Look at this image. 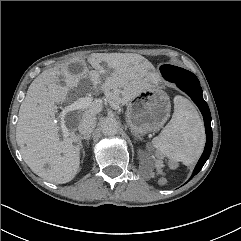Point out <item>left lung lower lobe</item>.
Returning <instances> with one entry per match:
<instances>
[{
    "instance_id": "0a47b994",
    "label": "left lung lower lobe",
    "mask_w": 241,
    "mask_h": 241,
    "mask_svg": "<svg viewBox=\"0 0 241 241\" xmlns=\"http://www.w3.org/2000/svg\"><path fill=\"white\" fill-rule=\"evenodd\" d=\"M166 79V78H165ZM170 82L176 83V85L185 93H187L194 103L199 107L205 123V130H206V145L204 152L199 159L194 172L193 176L196 175L203 167L212 150V129H211V115L210 110L208 108L207 103L203 99L202 89L200 87V83L198 79L189 80V81H179L175 79H167Z\"/></svg>"
}]
</instances>
